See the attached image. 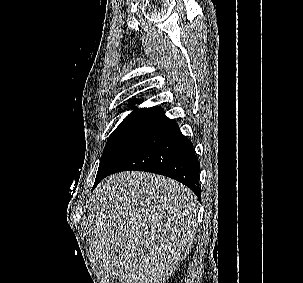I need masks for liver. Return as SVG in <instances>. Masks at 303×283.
I'll list each match as a JSON object with an SVG mask.
<instances>
[{"label":"liver","mask_w":303,"mask_h":283,"mask_svg":"<svg viewBox=\"0 0 303 283\" xmlns=\"http://www.w3.org/2000/svg\"><path fill=\"white\" fill-rule=\"evenodd\" d=\"M198 200L179 182L127 171L104 179L89 207V234L107 276L165 283L189 252Z\"/></svg>","instance_id":"liver-1"}]
</instances>
